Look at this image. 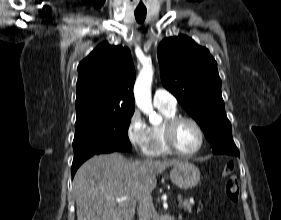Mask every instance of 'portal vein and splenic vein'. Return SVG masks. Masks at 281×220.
Listing matches in <instances>:
<instances>
[{
	"label": "portal vein and splenic vein",
	"instance_id": "1",
	"mask_svg": "<svg viewBox=\"0 0 281 220\" xmlns=\"http://www.w3.org/2000/svg\"><path fill=\"white\" fill-rule=\"evenodd\" d=\"M129 199V197H122V198H117L116 201L119 203H123L125 201H127ZM179 200H181V197L178 198Z\"/></svg>",
	"mask_w": 281,
	"mask_h": 220
}]
</instances>
